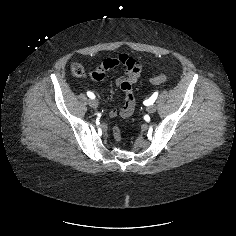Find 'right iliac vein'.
<instances>
[{"mask_svg": "<svg viewBox=\"0 0 236 236\" xmlns=\"http://www.w3.org/2000/svg\"><path fill=\"white\" fill-rule=\"evenodd\" d=\"M89 105H90V107L96 109V108H98L99 104H98V101L96 99H90L89 100Z\"/></svg>", "mask_w": 236, "mask_h": 236, "instance_id": "obj_1", "label": "right iliac vein"}]
</instances>
